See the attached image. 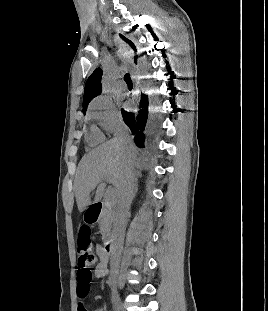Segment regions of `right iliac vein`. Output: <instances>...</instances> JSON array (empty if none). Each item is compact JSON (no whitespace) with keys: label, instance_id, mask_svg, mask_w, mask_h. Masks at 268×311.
Wrapping results in <instances>:
<instances>
[{"label":"right iliac vein","instance_id":"63e3f726","mask_svg":"<svg viewBox=\"0 0 268 311\" xmlns=\"http://www.w3.org/2000/svg\"><path fill=\"white\" fill-rule=\"evenodd\" d=\"M112 300H113L115 311H122L120 299L116 291H114L112 294Z\"/></svg>","mask_w":268,"mask_h":311}]
</instances>
